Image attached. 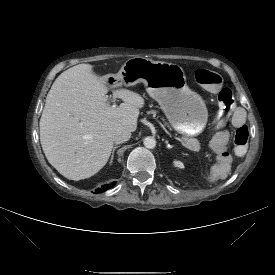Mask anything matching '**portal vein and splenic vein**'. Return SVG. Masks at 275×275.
<instances>
[{
    "label": "portal vein and splenic vein",
    "mask_w": 275,
    "mask_h": 275,
    "mask_svg": "<svg viewBox=\"0 0 275 275\" xmlns=\"http://www.w3.org/2000/svg\"><path fill=\"white\" fill-rule=\"evenodd\" d=\"M113 107H114V105H113ZM175 139H177L176 137H175ZM182 142V141H181ZM199 149V147H197L195 150H198Z\"/></svg>",
    "instance_id": "portal-vein-and-splenic-vein-1"
}]
</instances>
